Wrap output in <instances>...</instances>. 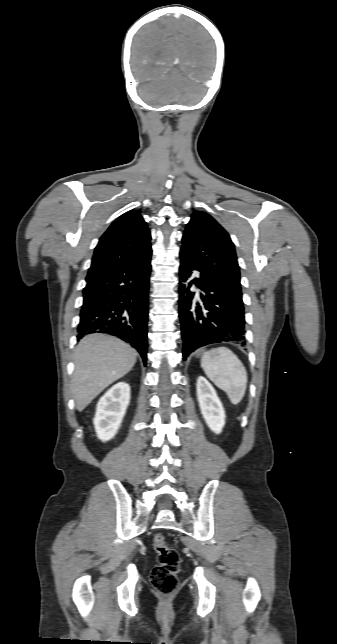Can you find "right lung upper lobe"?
<instances>
[{"mask_svg":"<svg viewBox=\"0 0 337 644\" xmlns=\"http://www.w3.org/2000/svg\"><path fill=\"white\" fill-rule=\"evenodd\" d=\"M150 240V231L139 210L121 215L100 238L87 283L122 265L147 259L152 254Z\"/></svg>","mask_w":337,"mask_h":644,"instance_id":"1","label":"right lung upper lobe"}]
</instances>
